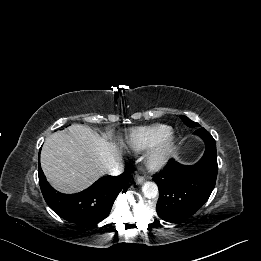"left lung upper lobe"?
<instances>
[{"label": "left lung upper lobe", "mask_w": 261, "mask_h": 261, "mask_svg": "<svg viewBox=\"0 0 261 261\" xmlns=\"http://www.w3.org/2000/svg\"><path fill=\"white\" fill-rule=\"evenodd\" d=\"M180 118H182L183 119V121H184V123L187 125V126H189V127H198L199 126V124L198 123H196V122H193L192 120H190L188 117H186V116H180Z\"/></svg>", "instance_id": "1"}]
</instances>
